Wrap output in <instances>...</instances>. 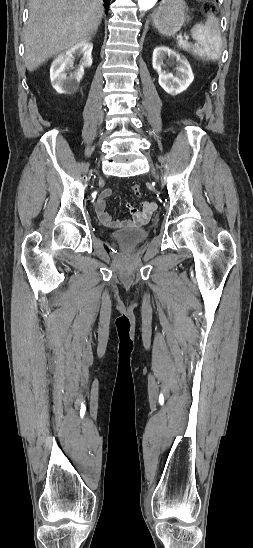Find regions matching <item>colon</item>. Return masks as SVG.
<instances>
[{
  "label": "colon",
  "instance_id": "1",
  "mask_svg": "<svg viewBox=\"0 0 253 548\" xmlns=\"http://www.w3.org/2000/svg\"><path fill=\"white\" fill-rule=\"evenodd\" d=\"M214 9V6L213 4L210 2V1H206L204 4H203V11L204 13L208 14L210 12H212ZM132 190H133V193L137 196V197H140L142 195V191H141V188L139 185H134L132 187Z\"/></svg>",
  "mask_w": 253,
  "mask_h": 548
}]
</instances>
